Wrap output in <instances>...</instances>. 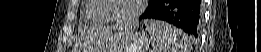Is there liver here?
Listing matches in <instances>:
<instances>
[{"mask_svg":"<svg viewBox=\"0 0 261 52\" xmlns=\"http://www.w3.org/2000/svg\"><path fill=\"white\" fill-rule=\"evenodd\" d=\"M132 30V27H128L127 32L129 33ZM120 32H111L109 28H105L100 33L101 38V45L102 48H107L109 46H112L113 43H115L116 39L118 38Z\"/></svg>","mask_w":261,"mask_h":52,"instance_id":"1","label":"liver"}]
</instances>
